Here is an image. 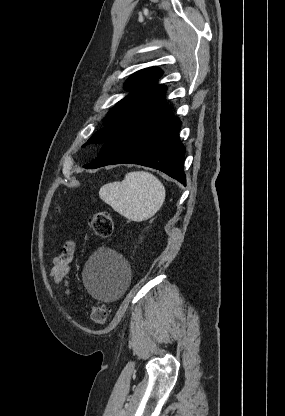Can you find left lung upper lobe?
Masks as SVG:
<instances>
[{
  "instance_id": "left-lung-upper-lobe-1",
  "label": "left lung upper lobe",
  "mask_w": 285,
  "mask_h": 416,
  "mask_svg": "<svg viewBox=\"0 0 285 416\" xmlns=\"http://www.w3.org/2000/svg\"><path fill=\"white\" fill-rule=\"evenodd\" d=\"M161 75L160 69L147 68L130 77L125 88L132 92L111 109L106 126L93 134L83 146L103 144L128 123L165 107L166 87L155 83Z\"/></svg>"
}]
</instances>
